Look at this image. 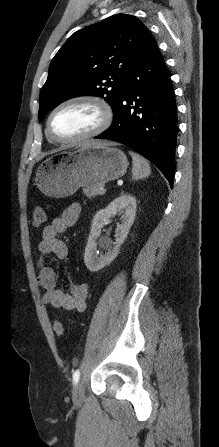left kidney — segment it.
Wrapping results in <instances>:
<instances>
[{
	"mask_svg": "<svg viewBox=\"0 0 219 447\" xmlns=\"http://www.w3.org/2000/svg\"><path fill=\"white\" fill-rule=\"evenodd\" d=\"M118 214L121 216V224L116 228L115 242L106 238L100 239V245L106 250L105 254L98 255L97 238L101 228ZM136 216V199L130 194H122L110 202L106 208L99 210L93 217L88 242L84 253V263L91 272H97L109 265L118 255L121 245L124 243Z\"/></svg>",
	"mask_w": 219,
	"mask_h": 447,
	"instance_id": "left-kidney-1",
	"label": "left kidney"
}]
</instances>
